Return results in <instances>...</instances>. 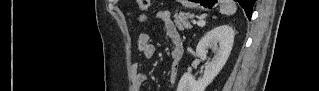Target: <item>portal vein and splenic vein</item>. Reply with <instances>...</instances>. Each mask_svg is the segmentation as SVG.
Returning <instances> with one entry per match:
<instances>
[{"mask_svg":"<svg viewBox=\"0 0 319 91\" xmlns=\"http://www.w3.org/2000/svg\"><path fill=\"white\" fill-rule=\"evenodd\" d=\"M193 24H197L198 26H200V27H204L205 26V22L204 21H195V20H193Z\"/></svg>","mask_w":319,"mask_h":91,"instance_id":"18ae733b","label":"portal vein and splenic vein"}]
</instances>
